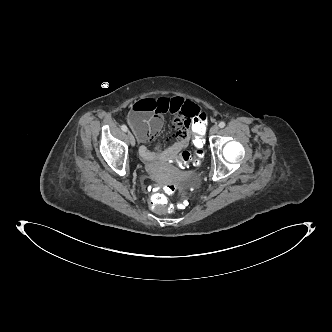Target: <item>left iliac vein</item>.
<instances>
[{"instance_id":"1","label":"left iliac vein","mask_w":332,"mask_h":332,"mask_svg":"<svg viewBox=\"0 0 332 332\" xmlns=\"http://www.w3.org/2000/svg\"><path fill=\"white\" fill-rule=\"evenodd\" d=\"M219 130V126L218 125H213L210 129V134H216Z\"/></svg>"}]
</instances>
